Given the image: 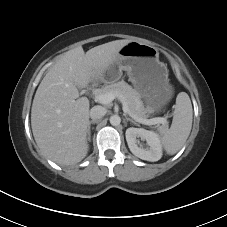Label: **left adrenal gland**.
I'll return each instance as SVG.
<instances>
[{
	"instance_id": "obj_1",
	"label": "left adrenal gland",
	"mask_w": 227,
	"mask_h": 227,
	"mask_svg": "<svg viewBox=\"0 0 227 227\" xmlns=\"http://www.w3.org/2000/svg\"><path fill=\"white\" fill-rule=\"evenodd\" d=\"M125 119H126L127 121H130L131 123H133V124H135V125H138L137 122H135L133 119H131V118L127 117V116H125Z\"/></svg>"
}]
</instances>
